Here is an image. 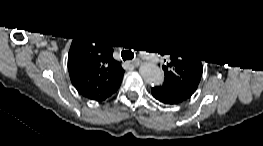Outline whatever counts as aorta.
I'll return each instance as SVG.
<instances>
[{"label": "aorta", "instance_id": "762f6f07", "mask_svg": "<svg viewBox=\"0 0 263 146\" xmlns=\"http://www.w3.org/2000/svg\"><path fill=\"white\" fill-rule=\"evenodd\" d=\"M139 72L143 80L150 85H159L164 78L162 71L150 62L143 63L139 68Z\"/></svg>", "mask_w": 263, "mask_h": 146}]
</instances>
